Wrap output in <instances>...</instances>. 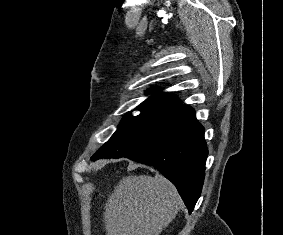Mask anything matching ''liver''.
I'll return each mask as SVG.
<instances>
[{
	"mask_svg": "<svg viewBox=\"0 0 283 235\" xmlns=\"http://www.w3.org/2000/svg\"><path fill=\"white\" fill-rule=\"evenodd\" d=\"M179 205L177 189L163 176L124 177L105 204L106 235H159Z\"/></svg>",
	"mask_w": 283,
	"mask_h": 235,
	"instance_id": "obj_1",
	"label": "liver"
}]
</instances>
